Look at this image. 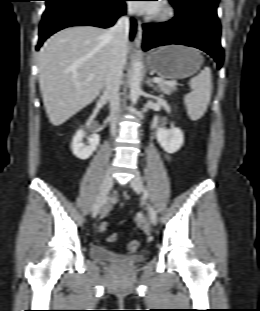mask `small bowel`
I'll return each mask as SVG.
<instances>
[{
    "label": "small bowel",
    "mask_w": 260,
    "mask_h": 311,
    "mask_svg": "<svg viewBox=\"0 0 260 311\" xmlns=\"http://www.w3.org/2000/svg\"><path fill=\"white\" fill-rule=\"evenodd\" d=\"M164 156L167 160H169V155L167 153H165ZM115 201H116L115 196H112L108 201L107 208L111 207L115 203Z\"/></svg>",
    "instance_id": "1"
}]
</instances>
